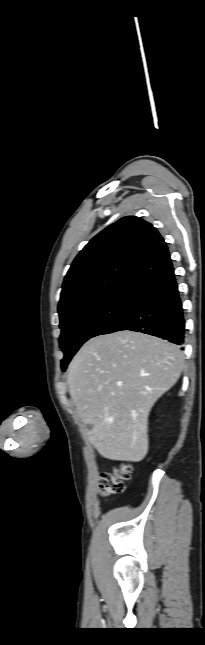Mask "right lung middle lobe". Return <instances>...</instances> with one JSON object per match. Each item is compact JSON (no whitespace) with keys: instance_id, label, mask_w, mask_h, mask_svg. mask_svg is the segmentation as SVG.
I'll return each instance as SVG.
<instances>
[{"instance_id":"dd1d6c3e","label":"right lung middle lobe","mask_w":205,"mask_h":645,"mask_svg":"<svg viewBox=\"0 0 205 645\" xmlns=\"http://www.w3.org/2000/svg\"><path fill=\"white\" fill-rule=\"evenodd\" d=\"M141 294V285L127 283L77 300L59 311L62 330L60 347L64 352L62 370L65 371L84 342L111 326L135 304Z\"/></svg>"}]
</instances>
